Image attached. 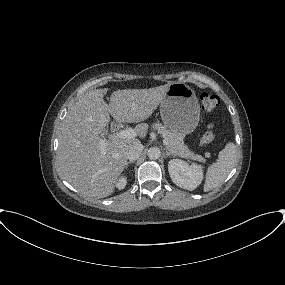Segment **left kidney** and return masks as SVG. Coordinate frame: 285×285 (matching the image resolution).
<instances>
[{"label": "left kidney", "instance_id": "obj_1", "mask_svg": "<svg viewBox=\"0 0 285 285\" xmlns=\"http://www.w3.org/2000/svg\"><path fill=\"white\" fill-rule=\"evenodd\" d=\"M168 171L172 181L186 190L196 189L203 180V169L198 164H188L180 159H172L168 164Z\"/></svg>", "mask_w": 285, "mask_h": 285}]
</instances>
